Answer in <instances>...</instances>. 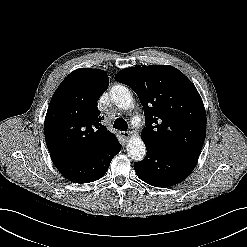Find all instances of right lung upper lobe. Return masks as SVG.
Here are the masks:
<instances>
[{
    "label": "right lung upper lobe",
    "mask_w": 247,
    "mask_h": 247,
    "mask_svg": "<svg viewBox=\"0 0 247 247\" xmlns=\"http://www.w3.org/2000/svg\"><path fill=\"white\" fill-rule=\"evenodd\" d=\"M109 78L100 69L80 68L58 86L50 101L44 123L47 148L51 154L86 160L116 140L101 124L97 108L107 90Z\"/></svg>",
    "instance_id": "obj_1"
}]
</instances>
